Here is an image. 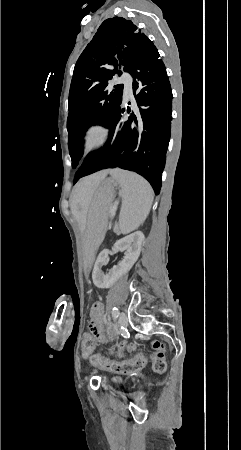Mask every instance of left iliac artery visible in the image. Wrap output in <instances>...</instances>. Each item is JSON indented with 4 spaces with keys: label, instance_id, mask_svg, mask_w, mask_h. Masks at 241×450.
Masks as SVG:
<instances>
[{
    "label": "left iliac artery",
    "instance_id": "44dca946",
    "mask_svg": "<svg viewBox=\"0 0 241 450\" xmlns=\"http://www.w3.org/2000/svg\"><path fill=\"white\" fill-rule=\"evenodd\" d=\"M118 315H119L118 308L117 307H113V309H112V316H113V318L116 319L118 317Z\"/></svg>",
    "mask_w": 241,
    "mask_h": 450
}]
</instances>
